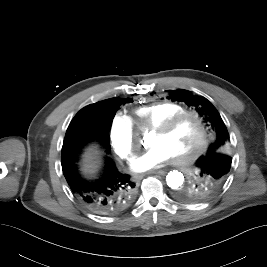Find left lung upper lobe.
<instances>
[{
    "mask_svg": "<svg viewBox=\"0 0 267 267\" xmlns=\"http://www.w3.org/2000/svg\"><path fill=\"white\" fill-rule=\"evenodd\" d=\"M167 92H169L168 99L184 102L188 106L194 107L203 118L205 124L214 132L215 140L210 144L206 154L223 153L230 157L229 133L219 112L213 104L205 97L193 96L188 90L177 89L167 90Z\"/></svg>",
    "mask_w": 267,
    "mask_h": 267,
    "instance_id": "left-lung-upper-lobe-1",
    "label": "left lung upper lobe"
}]
</instances>
